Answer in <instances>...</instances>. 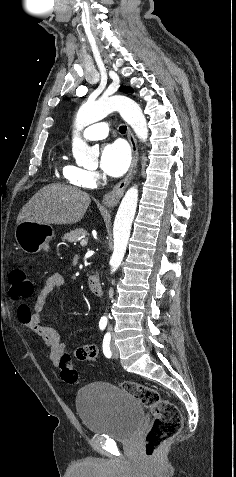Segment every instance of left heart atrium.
<instances>
[{"instance_id":"left-heart-atrium-1","label":"left heart atrium","mask_w":236,"mask_h":477,"mask_svg":"<svg viewBox=\"0 0 236 477\" xmlns=\"http://www.w3.org/2000/svg\"><path fill=\"white\" fill-rule=\"evenodd\" d=\"M130 162V151L122 142L107 144L102 150L100 166L109 176L119 177L123 175L127 171Z\"/></svg>"}]
</instances>
